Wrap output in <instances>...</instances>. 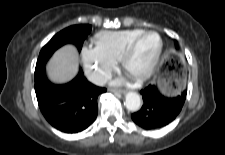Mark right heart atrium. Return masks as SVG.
<instances>
[{"mask_svg": "<svg viewBox=\"0 0 225 155\" xmlns=\"http://www.w3.org/2000/svg\"><path fill=\"white\" fill-rule=\"evenodd\" d=\"M81 56L87 77L97 84L105 82L116 67V61L102 55L93 47H84Z\"/></svg>", "mask_w": 225, "mask_h": 155, "instance_id": "obj_1", "label": "right heart atrium"}]
</instances>
